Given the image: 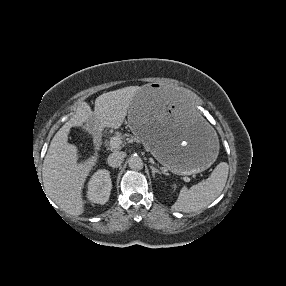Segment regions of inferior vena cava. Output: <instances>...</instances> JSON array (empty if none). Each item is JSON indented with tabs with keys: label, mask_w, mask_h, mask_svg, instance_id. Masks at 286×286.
Here are the masks:
<instances>
[{
	"label": "inferior vena cava",
	"mask_w": 286,
	"mask_h": 286,
	"mask_svg": "<svg viewBox=\"0 0 286 286\" xmlns=\"http://www.w3.org/2000/svg\"><path fill=\"white\" fill-rule=\"evenodd\" d=\"M124 157L125 154L123 152H113L107 158L108 165L113 168H117L122 164Z\"/></svg>",
	"instance_id": "obj_1"
}]
</instances>
